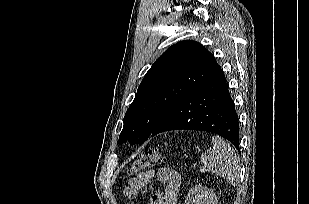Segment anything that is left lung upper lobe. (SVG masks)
Segmentation results:
<instances>
[{
    "label": "left lung upper lobe",
    "instance_id": "1",
    "mask_svg": "<svg viewBox=\"0 0 309 204\" xmlns=\"http://www.w3.org/2000/svg\"><path fill=\"white\" fill-rule=\"evenodd\" d=\"M221 67L200 43L180 41L168 48L142 80L124 117L119 143H143L162 117Z\"/></svg>",
    "mask_w": 309,
    "mask_h": 204
}]
</instances>
